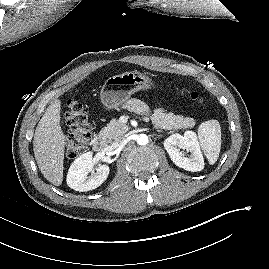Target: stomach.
I'll return each mask as SVG.
<instances>
[{
  "label": "stomach",
  "mask_w": 269,
  "mask_h": 269,
  "mask_svg": "<svg viewBox=\"0 0 269 269\" xmlns=\"http://www.w3.org/2000/svg\"><path fill=\"white\" fill-rule=\"evenodd\" d=\"M153 88L155 83L151 77L135 70L108 78L101 89L100 98L106 108L118 109L135 92Z\"/></svg>",
  "instance_id": "stomach-1"
}]
</instances>
